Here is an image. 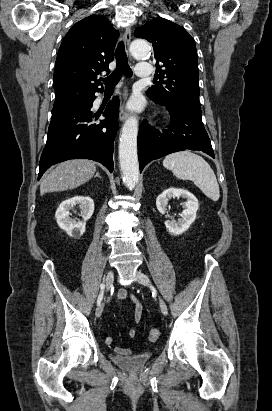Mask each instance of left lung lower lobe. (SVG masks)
I'll use <instances>...</instances> for the list:
<instances>
[{
    "label": "left lung lower lobe",
    "instance_id": "left-lung-lower-lobe-1",
    "mask_svg": "<svg viewBox=\"0 0 272 411\" xmlns=\"http://www.w3.org/2000/svg\"><path fill=\"white\" fill-rule=\"evenodd\" d=\"M167 107V106H166ZM171 116L169 129L163 132L144 121L138 133V157L140 172L152 160L172 152L199 150L211 157L214 152L201 116L191 113H178L167 107Z\"/></svg>",
    "mask_w": 272,
    "mask_h": 411
}]
</instances>
